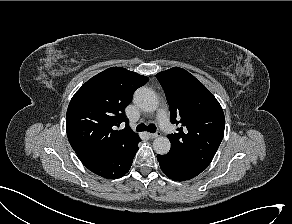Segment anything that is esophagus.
Returning <instances> with one entry per match:
<instances>
[{"mask_svg": "<svg viewBox=\"0 0 292 224\" xmlns=\"http://www.w3.org/2000/svg\"><path fill=\"white\" fill-rule=\"evenodd\" d=\"M148 136L153 139V138L159 137L160 133L159 132H157V133H148Z\"/></svg>", "mask_w": 292, "mask_h": 224, "instance_id": "obj_1", "label": "esophagus"}]
</instances>
